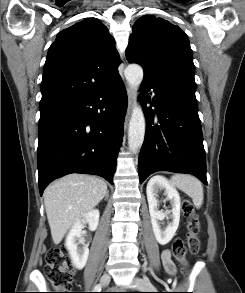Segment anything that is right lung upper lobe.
Segmentation results:
<instances>
[{
  "label": "right lung upper lobe",
  "instance_id": "cb5924a9",
  "mask_svg": "<svg viewBox=\"0 0 245 293\" xmlns=\"http://www.w3.org/2000/svg\"><path fill=\"white\" fill-rule=\"evenodd\" d=\"M114 39L105 25L88 18L62 30L50 46L40 108L78 100L119 75Z\"/></svg>",
  "mask_w": 245,
  "mask_h": 293
}]
</instances>
